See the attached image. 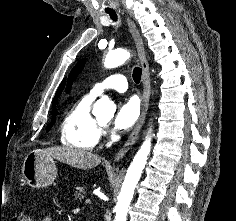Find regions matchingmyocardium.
Masks as SVG:
<instances>
[{
	"label": "myocardium",
	"mask_w": 236,
	"mask_h": 221,
	"mask_svg": "<svg viewBox=\"0 0 236 221\" xmlns=\"http://www.w3.org/2000/svg\"><path fill=\"white\" fill-rule=\"evenodd\" d=\"M99 127H102L103 125L101 123H98Z\"/></svg>",
	"instance_id": "myocardium-1"
}]
</instances>
